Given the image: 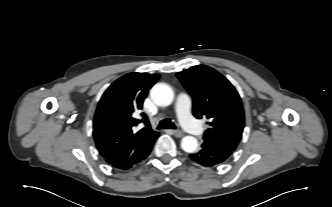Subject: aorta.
Returning <instances> with one entry per match:
<instances>
[{"label":"aorta","mask_w":332,"mask_h":207,"mask_svg":"<svg viewBox=\"0 0 332 207\" xmlns=\"http://www.w3.org/2000/svg\"><path fill=\"white\" fill-rule=\"evenodd\" d=\"M150 96L159 106H168L174 99L173 90L165 83L155 84L150 91ZM181 148L185 152L193 153L198 148V141L193 136H185L181 140Z\"/></svg>","instance_id":"obj_1"}]
</instances>
